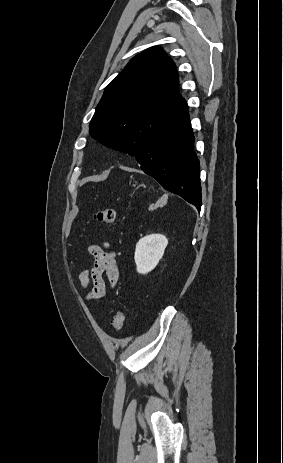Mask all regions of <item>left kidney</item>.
Segmentation results:
<instances>
[{
    "instance_id": "5707ae66",
    "label": "left kidney",
    "mask_w": 283,
    "mask_h": 463,
    "mask_svg": "<svg viewBox=\"0 0 283 463\" xmlns=\"http://www.w3.org/2000/svg\"><path fill=\"white\" fill-rule=\"evenodd\" d=\"M168 239L162 234H150L136 244L135 263L137 272L147 274L152 271L164 255Z\"/></svg>"
}]
</instances>
